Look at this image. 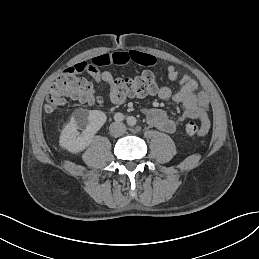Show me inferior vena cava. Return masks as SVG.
Wrapping results in <instances>:
<instances>
[{
  "instance_id": "602c4592",
  "label": "inferior vena cava",
  "mask_w": 259,
  "mask_h": 259,
  "mask_svg": "<svg viewBox=\"0 0 259 259\" xmlns=\"http://www.w3.org/2000/svg\"><path fill=\"white\" fill-rule=\"evenodd\" d=\"M110 133L113 136H121L124 134L126 127L123 123L114 122L110 125Z\"/></svg>"
}]
</instances>
